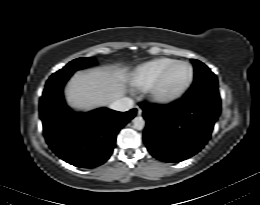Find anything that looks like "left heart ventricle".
<instances>
[{"label":"left heart ventricle","mask_w":260,"mask_h":205,"mask_svg":"<svg viewBox=\"0 0 260 205\" xmlns=\"http://www.w3.org/2000/svg\"><path fill=\"white\" fill-rule=\"evenodd\" d=\"M190 70L188 66L180 64L175 66L167 75L160 87L163 94H171L180 90L189 80Z\"/></svg>","instance_id":"b2bd125f"}]
</instances>
